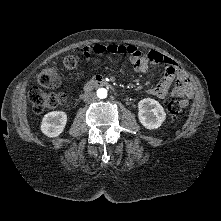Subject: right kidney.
Wrapping results in <instances>:
<instances>
[{"mask_svg":"<svg viewBox=\"0 0 221 221\" xmlns=\"http://www.w3.org/2000/svg\"><path fill=\"white\" fill-rule=\"evenodd\" d=\"M67 115L63 111H53L46 114L41 122V131L52 138L59 136L66 126Z\"/></svg>","mask_w":221,"mask_h":221,"instance_id":"obj_1","label":"right kidney"}]
</instances>
